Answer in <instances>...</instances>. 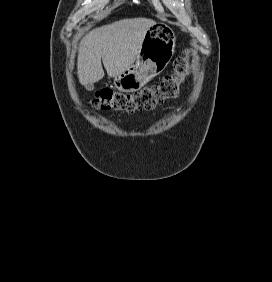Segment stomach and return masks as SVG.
Here are the masks:
<instances>
[{
    "instance_id": "stomach-1",
    "label": "stomach",
    "mask_w": 272,
    "mask_h": 282,
    "mask_svg": "<svg viewBox=\"0 0 272 282\" xmlns=\"http://www.w3.org/2000/svg\"><path fill=\"white\" fill-rule=\"evenodd\" d=\"M175 42L174 33L168 26L155 23L149 27L136 63L115 76V88L122 92L141 89L168 65L175 51Z\"/></svg>"
}]
</instances>
